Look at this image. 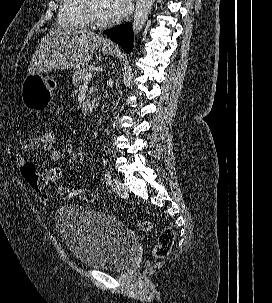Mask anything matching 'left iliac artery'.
Masks as SVG:
<instances>
[{
  "label": "left iliac artery",
  "instance_id": "obj_1",
  "mask_svg": "<svg viewBox=\"0 0 272 303\" xmlns=\"http://www.w3.org/2000/svg\"><path fill=\"white\" fill-rule=\"evenodd\" d=\"M104 179H105V181H106L107 184L111 183V174L108 171L105 172Z\"/></svg>",
  "mask_w": 272,
  "mask_h": 303
}]
</instances>
